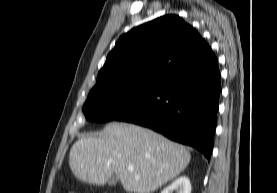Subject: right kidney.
Here are the masks:
<instances>
[{
	"label": "right kidney",
	"mask_w": 277,
	"mask_h": 193,
	"mask_svg": "<svg viewBox=\"0 0 277 193\" xmlns=\"http://www.w3.org/2000/svg\"><path fill=\"white\" fill-rule=\"evenodd\" d=\"M191 193V183L188 177L181 176L166 187L161 193Z\"/></svg>",
	"instance_id": "1"
}]
</instances>
